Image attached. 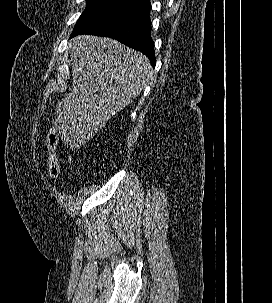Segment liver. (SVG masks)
I'll return each mask as SVG.
<instances>
[{
	"mask_svg": "<svg viewBox=\"0 0 272 303\" xmlns=\"http://www.w3.org/2000/svg\"><path fill=\"white\" fill-rule=\"evenodd\" d=\"M70 47L72 88L57 103L55 128L74 147L89 141L139 95L152 67L145 55L106 37L80 35Z\"/></svg>",
	"mask_w": 272,
	"mask_h": 303,
	"instance_id": "1",
	"label": "liver"
}]
</instances>
